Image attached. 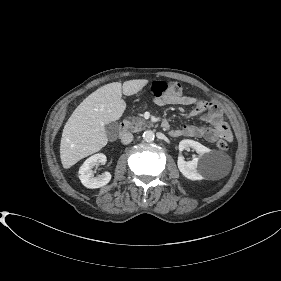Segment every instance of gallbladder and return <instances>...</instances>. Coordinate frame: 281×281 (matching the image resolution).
Listing matches in <instances>:
<instances>
[{
    "instance_id": "obj_1",
    "label": "gallbladder",
    "mask_w": 281,
    "mask_h": 281,
    "mask_svg": "<svg viewBox=\"0 0 281 281\" xmlns=\"http://www.w3.org/2000/svg\"><path fill=\"white\" fill-rule=\"evenodd\" d=\"M105 130L108 137L116 135L118 132V124L116 122H111L105 125Z\"/></svg>"
}]
</instances>
